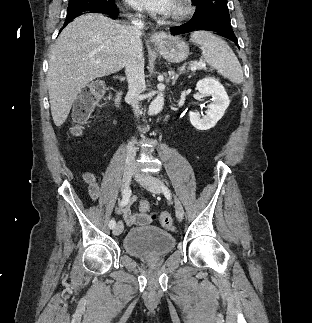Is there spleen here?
Wrapping results in <instances>:
<instances>
[{
  "mask_svg": "<svg viewBox=\"0 0 312 323\" xmlns=\"http://www.w3.org/2000/svg\"><path fill=\"white\" fill-rule=\"evenodd\" d=\"M190 42L199 44L200 50H202V58L211 68L218 70V74L228 78L234 84H242V68L227 42L218 38L216 34L205 32V30L192 32Z\"/></svg>",
  "mask_w": 312,
  "mask_h": 323,
  "instance_id": "3e777b00",
  "label": "spleen"
}]
</instances>
